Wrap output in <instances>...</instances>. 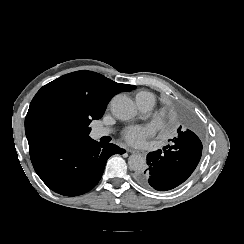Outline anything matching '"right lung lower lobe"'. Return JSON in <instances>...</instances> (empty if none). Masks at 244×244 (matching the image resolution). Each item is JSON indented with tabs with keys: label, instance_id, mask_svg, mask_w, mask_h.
Wrapping results in <instances>:
<instances>
[{
	"label": "right lung lower lobe",
	"instance_id": "1",
	"mask_svg": "<svg viewBox=\"0 0 244 244\" xmlns=\"http://www.w3.org/2000/svg\"><path fill=\"white\" fill-rule=\"evenodd\" d=\"M33 167L42 181L53 191L81 195L99 182L106 161L124 149L114 144L97 143L89 136L80 140H28Z\"/></svg>",
	"mask_w": 244,
	"mask_h": 244
}]
</instances>
